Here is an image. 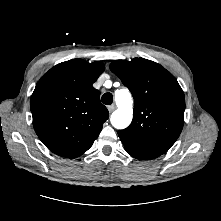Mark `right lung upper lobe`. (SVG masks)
<instances>
[{"instance_id": "cb5924a9", "label": "right lung upper lobe", "mask_w": 221, "mask_h": 221, "mask_svg": "<svg viewBox=\"0 0 221 221\" xmlns=\"http://www.w3.org/2000/svg\"><path fill=\"white\" fill-rule=\"evenodd\" d=\"M104 69L100 62L73 59L54 66L37 83L30 102L33 127L53 153L76 158L100 134L109 113L92 84Z\"/></svg>"}]
</instances>
